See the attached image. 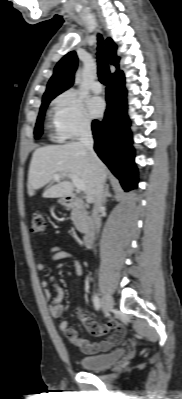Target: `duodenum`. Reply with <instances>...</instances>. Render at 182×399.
I'll return each instance as SVG.
<instances>
[{"label": "duodenum", "instance_id": "1", "mask_svg": "<svg viewBox=\"0 0 182 399\" xmlns=\"http://www.w3.org/2000/svg\"><path fill=\"white\" fill-rule=\"evenodd\" d=\"M66 203L68 206H80L82 201L74 195H69L66 198ZM85 223L86 228L83 236V246L85 248H91L96 240V225L89 216H85Z\"/></svg>", "mask_w": 182, "mask_h": 399}]
</instances>
